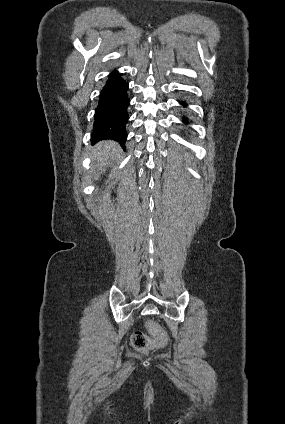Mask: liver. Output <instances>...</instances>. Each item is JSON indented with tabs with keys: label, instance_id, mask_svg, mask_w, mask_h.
Returning a JSON list of instances; mask_svg holds the SVG:
<instances>
[{
	"label": "liver",
	"instance_id": "6515ba94",
	"mask_svg": "<svg viewBox=\"0 0 285 424\" xmlns=\"http://www.w3.org/2000/svg\"><path fill=\"white\" fill-rule=\"evenodd\" d=\"M120 152L121 149L115 141H101L96 145L92 153V159L96 161L95 168L98 169V176L100 175L99 171H102L107 162L110 163L118 159Z\"/></svg>",
	"mask_w": 285,
	"mask_h": 424
}]
</instances>
